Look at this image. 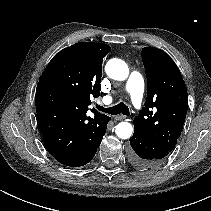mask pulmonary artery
<instances>
[{
  "instance_id": "1",
  "label": "pulmonary artery",
  "mask_w": 211,
  "mask_h": 211,
  "mask_svg": "<svg viewBox=\"0 0 211 211\" xmlns=\"http://www.w3.org/2000/svg\"><path fill=\"white\" fill-rule=\"evenodd\" d=\"M144 80L137 72H132L126 82V89L131 96L132 103L136 109L142 106V99L144 94ZM105 104L112 101L111 96H105L102 100Z\"/></svg>"
}]
</instances>
